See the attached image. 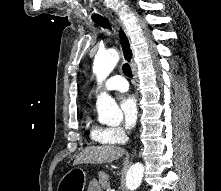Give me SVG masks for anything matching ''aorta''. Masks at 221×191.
<instances>
[{"mask_svg":"<svg viewBox=\"0 0 221 191\" xmlns=\"http://www.w3.org/2000/svg\"><path fill=\"white\" fill-rule=\"evenodd\" d=\"M119 61V54L115 49H108L96 54L93 63V72L98 83H102L115 68ZM99 118L108 124L119 123L122 119V111L115 100L107 93H101L96 103ZM144 165L142 163L133 164L126 174V186L128 190H136L144 176Z\"/></svg>","mask_w":221,"mask_h":191,"instance_id":"762f6f07","label":"aorta"}]
</instances>
